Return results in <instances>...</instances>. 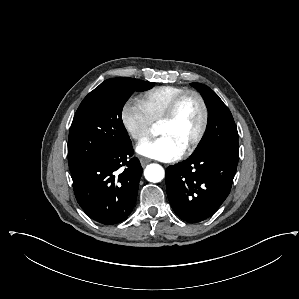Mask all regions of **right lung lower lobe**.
Here are the masks:
<instances>
[{
  "mask_svg": "<svg viewBox=\"0 0 299 299\" xmlns=\"http://www.w3.org/2000/svg\"><path fill=\"white\" fill-rule=\"evenodd\" d=\"M132 154L130 143L89 161L72 173L78 204L98 223L121 222L132 211L143 170L136 157L130 158Z\"/></svg>",
  "mask_w": 299,
  "mask_h": 299,
  "instance_id": "98d812e1",
  "label": "right lung lower lobe"
}]
</instances>
